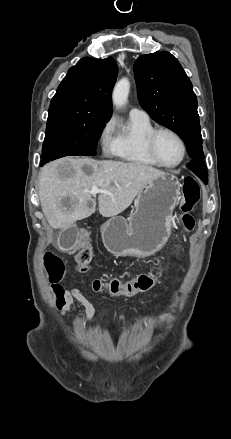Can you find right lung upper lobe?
Segmentation results:
<instances>
[{"mask_svg": "<svg viewBox=\"0 0 231 439\" xmlns=\"http://www.w3.org/2000/svg\"><path fill=\"white\" fill-rule=\"evenodd\" d=\"M118 68L112 57L82 58L59 85L51 100L48 117L83 114L110 118L111 93Z\"/></svg>", "mask_w": 231, "mask_h": 439, "instance_id": "cb5924a9", "label": "right lung upper lobe"}]
</instances>
